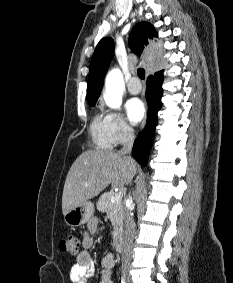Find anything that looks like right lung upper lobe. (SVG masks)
Here are the masks:
<instances>
[{
    "mask_svg": "<svg viewBox=\"0 0 233 283\" xmlns=\"http://www.w3.org/2000/svg\"><path fill=\"white\" fill-rule=\"evenodd\" d=\"M165 38H157V32L153 25L148 22H141L135 25L129 36V45L138 56L145 50L149 54V59H162L160 49H164ZM114 50V41L110 37L103 38L97 45L89 70L87 100L89 105H95L104 82V76L109 67L112 53ZM170 53L169 49L165 50Z\"/></svg>",
    "mask_w": 233,
    "mask_h": 283,
    "instance_id": "cb5924a9",
    "label": "right lung upper lobe"
}]
</instances>
